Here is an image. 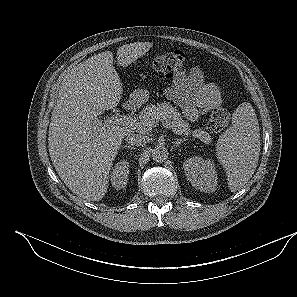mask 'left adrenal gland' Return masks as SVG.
<instances>
[{
    "instance_id": "left-adrenal-gland-1",
    "label": "left adrenal gland",
    "mask_w": 297,
    "mask_h": 297,
    "mask_svg": "<svg viewBox=\"0 0 297 297\" xmlns=\"http://www.w3.org/2000/svg\"><path fill=\"white\" fill-rule=\"evenodd\" d=\"M184 141H186V139H177L175 142H173V145L176 147H179L181 143H183Z\"/></svg>"
}]
</instances>
